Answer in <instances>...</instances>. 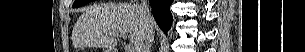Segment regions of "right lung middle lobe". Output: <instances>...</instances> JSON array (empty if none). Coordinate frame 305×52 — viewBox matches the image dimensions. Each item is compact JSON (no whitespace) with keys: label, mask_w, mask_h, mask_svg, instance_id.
<instances>
[{"label":"right lung middle lobe","mask_w":305,"mask_h":52,"mask_svg":"<svg viewBox=\"0 0 305 52\" xmlns=\"http://www.w3.org/2000/svg\"><path fill=\"white\" fill-rule=\"evenodd\" d=\"M93 0H75L74 4H73V7H80V6H83L89 2H91Z\"/></svg>","instance_id":"right-lung-middle-lobe-1"}]
</instances>
